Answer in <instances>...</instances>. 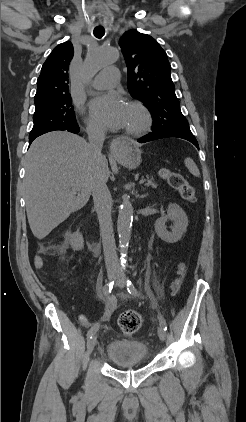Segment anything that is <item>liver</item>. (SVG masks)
<instances>
[{"mask_svg": "<svg viewBox=\"0 0 246 422\" xmlns=\"http://www.w3.org/2000/svg\"><path fill=\"white\" fill-rule=\"evenodd\" d=\"M98 169L108 179L106 157L102 155L97 164L89 143L77 135L53 131L33 141L25 157L24 188L27 218L36 238H45L86 205Z\"/></svg>", "mask_w": 246, "mask_h": 422, "instance_id": "obj_1", "label": "liver"}]
</instances>
